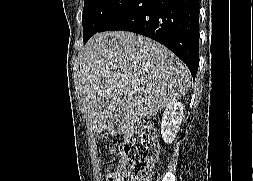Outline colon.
Wrapping results in <instances>:
<instances>
[{
  "instance_id": "obj_1",
  "label": "colon",
  "mask_w": 253,
  "mask_h": 181,
  "mask_svg": "<svg viewBox=\"0 0 253 181\" xmlns=\"http://www.w3.org/2000/svg\"><path fill=\"white\" fill-rule=\"evenodd\" d=\"M122 162L109 181H149L158 156L154 128L145 122L130 125L123 131Z\"/></svg>"
}]
</instances>
